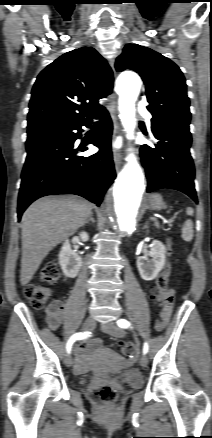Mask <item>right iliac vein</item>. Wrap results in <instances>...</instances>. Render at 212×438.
<instances>
[{"instance_id": "right-iliac-vein-1", "label": "right iliac vein", "mask_w": 212, "mask_h": 438, "mask_svg": "<svg viewBox=\"0 0 212 438\" xmlns=\"http://www.w3.org/2000/svg\"><path fill=\"white\" fill-rule=\"evenodd\" d=\"M95 325H96L95 319L93 317H88V318L85 319V321L83 323V329L86 330V331H91V330H93L95 328ZM65 364L68 367L72 366L73 359H72V356L70 354L66 355V357H65Z\"/></svg>"}]
</instances>
